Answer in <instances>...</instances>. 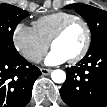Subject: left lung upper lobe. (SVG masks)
<instances>
[{
	"label": "left lung upper lobe",
	"mask_w": 107,
	"mask_h": 107,
	"mask_svg": "<svg viewBox=\"0 0 107 107\" xmlns=\"http://www.w3.org/2000/svg\"><path fill=\"white\" fill-rule=\"evenodd\" d=\"M66 8H73L80 14L88 23L92 41L90 47L97 43L107 40V12L96 7L86 5L83 3H75L66 6Z\"/></svg>",
	"instance_id": "left-lung-upper-lobe-1"
}]
</instances>
